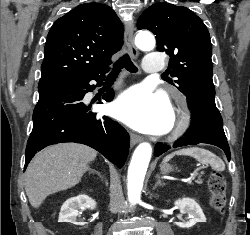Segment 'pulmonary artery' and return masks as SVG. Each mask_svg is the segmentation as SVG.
<instances>
[{
    "label": "pulmonary artery",
    "instance_id": "pulmonary-artery-1",
    "mask_svg": "<svg viewBox=\"0 0 250 235\" xmlns=\"http://www.w3.org/2000/svg\"><path fill=\"white\" fill-rule=\"evenodd\" d=\"M164 68V61L158 52H150L146 55L143 63L145 72L156 73L162 71Z\"/></svg>",
    "mask_w": 250,
    "mask_h": 235
}]
</instances>
